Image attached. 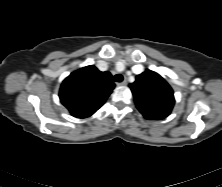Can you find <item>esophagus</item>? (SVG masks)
<instances>
[{
  "mask_svg": "<svg viewBox=\"0 0 222 187\" xmlns=\"http://www.w3.org/2000/svg\"><path fill=\"white\" fill-rule=\"evenodd\" d=\"M127 85V81L123 80L122 82L118 83V86H125Z\"/></svg>",
  "mask_w": 222,
  "mask_h": 187,
  "instance_id": "esophagus-1",
  "label": "esophagus"
}]
</instances>
